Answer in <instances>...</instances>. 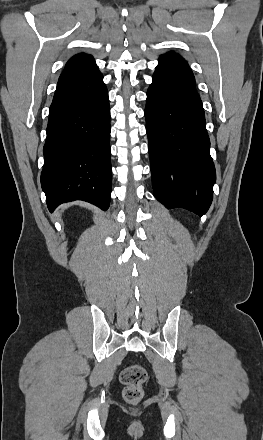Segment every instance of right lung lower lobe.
I'll list each match as a JSON object with an SVG mask.
<instances>
[{
	"mask_svg": "<svg viewBox=\"0 0 263 440\" xmlns=\"http://www.w3.org/2000/svg\"><path fill=\"white\" fill-rule=\"evenodd\" d=\"M109 136L108 92L98 70L57 86L41 173L50 212L74 200L108 209L112 174Z\"/></svg>",
	"mask_w": 263,
	"mask_h": 440,
	"instance_id": "98d812e1",
	"label": "right lung lower lobe"
}]
</instances>
